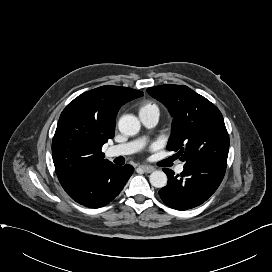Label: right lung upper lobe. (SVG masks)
Segmentation results:
<instances>
[{"label":"right lung upper lobe","mask_w":272,"mask_h":272,"mask_svg":"<svg viewBox=\"0 0 272 272\" xmlns=\"http://www.w3.org/2000/svg\"><path fill=\"white\" fill-rule=\"evenodd\" d=\"M143 92L127 87L101 86L69 103L60 115L52 141L55 171L63 188L109 162L101 149L115 134V119L125 103Z\"/></svg>","instance_id":"right-lung-upper-lobe-1"}]
</instances>
